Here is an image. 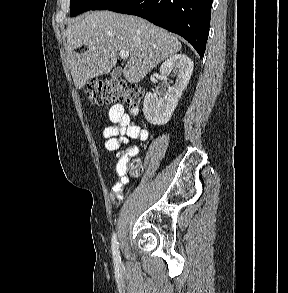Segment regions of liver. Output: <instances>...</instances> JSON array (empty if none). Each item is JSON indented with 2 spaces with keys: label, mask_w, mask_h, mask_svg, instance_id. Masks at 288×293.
I'll list each match as a JSON object with an SVG mask.
<instances>
[{
  "label": "liver",
  "mask_w": 288,
  "mask_h": 293,
  "mask_svg": "<svg viewBox=\"0 0 288 293\" xmlns=\"http://www.w3.org/2000/svg\"><path fill=\"white\" fill-rule=\"evenodd\" d=\"M65 36L69 66L78 89L90 79L109 73L120 51L129 53L122 71L124 78L138 83L182 48L174 35L145 19L107 10L77 17L67 26ZM82 46H87V51H74Z\"/></svg>",
  "instance_id": "liver-1"
}]
</instances>
